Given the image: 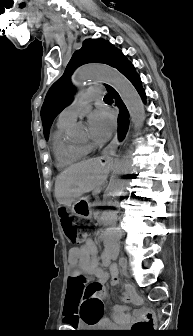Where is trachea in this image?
I'll return each mask as SVG.
<instances>
[{"label": "trachea", "instance_id": "obj_1", "mask_svg": "<svg viewBox=\"0 0 193 336\" xmlns=\"http://www.w3.org/2000/svg\"><path fill=\"white\" fill-rule=\"evenodd\" d=\"M111 99H112V97L108 94L104 97V100H111Z\"/></svg>", "mask_w": 193, "mask_h": 336}]
</instances>
